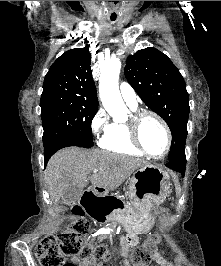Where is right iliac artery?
<instances>
[{"label":"right iliac artery","mask_w":221,"mask_h":266,"mask_svg":"<svg viewBox=\"0 0 221 266\" xmlns=\"http://www.w3.org/2000/svg\"><path fill=\"white\" fill-rule=\"evenodd\" d=\"M97 233H98V234H105L106 231H105V230H103V231L99 230ZM98 234H97V235H98Z\"/></svg>","instance_id":"82829eb1"}]
</instances>
